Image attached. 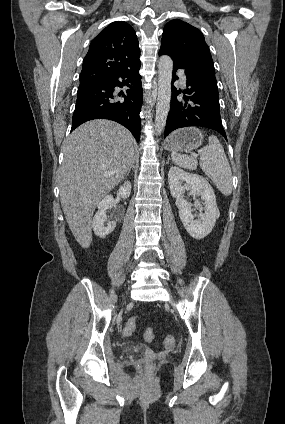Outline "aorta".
<instances>
[{
    "label": "aorta",
    "mask_w": 285,
    "mask_h": 424,
    "mask_svg": "<svg viewBox=\"0 0 285 424\" xmlns=\"http://www.w3.org/2000/svg\"><path fill=\"white\" fill-rule=\"evenodd\" d=\"M173 61L170 56L160 57L158 64V97L156 104L155 130L160 135L165 128L170 110Z\"/></svg>",
    "instance_id": "1"
}]
</instances>
